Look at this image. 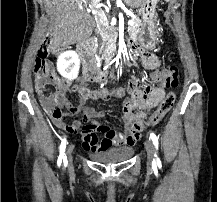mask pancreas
<instances>
[{
    "instance_id": "1",
    "label": "pancreas",
    "mask_w": 217,
    "mask_h": 202,
    "mask_svg": "<svg viewBox=\"0 0 217 202\" xmlns=\"http://www.w3.org/2000/svg\"><path fill=\"white\" fill-rule=\"evenodd\" d=\"M134 22H136V24H134V26H129L128 28V34L130 36V38H133V40H137V34H139L141 28V20H134ZM118 36V32L117 30H115V28H111L109 34H107L105 40V44H106V48H112L114 42H116V38Z\"/></svg>"
}]
</instances>
